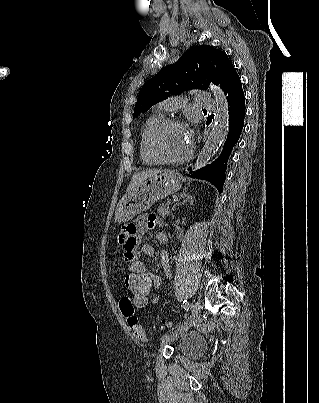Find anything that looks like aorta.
Segmentation results:
<instances>
[{
    "label": "aorta",
    "mask_w": 319,
    "mask_h": 403,
    "mask_svg": "<svg viewBox=\"0 0 319 403\" xmlns=\"http://www.w3.org/2000/svg\"><path fill=\"white\" fill-rule=\"evenodd\" d=\"M210 90L216 101L215 124L212 127L207 141L198 154L193 170L203 167L217 152L218 148L225 141L229 128V109L224 92L214 85Z\"/></svg>",
    "instance_id": "aorta-1"
}]
</instances>
